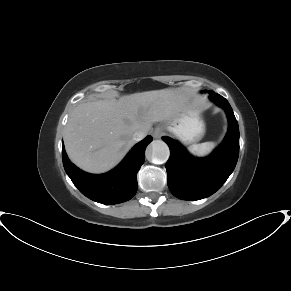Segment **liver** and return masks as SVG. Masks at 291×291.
Returning <instances> with one entry per match:
<instances>
[{"instance_id":"liver-1","label":"liver","mask_w":291,"mask_h":291,"mask_svg":"<svg viewBox=\"0 0 291 291\" xmlns=\"http://www.w3.org/2000/svg\"><path fill=\"white\" fill-rule=\"evenodd\" d=\"M183 103L172 89L81 103L71 112L64 131L68 157L87 172H107L135 144L136 131L147 134L153 123L176 116Z\"/></svg>"}]
</instances>
